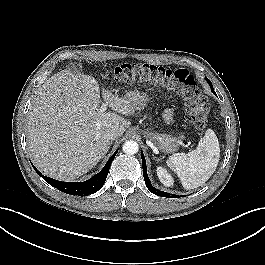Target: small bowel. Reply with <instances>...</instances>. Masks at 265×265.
Returning <instances> with one entry per match:
<instances>
[{
	"mask_svg": "<svg viewBox=\"0 0 265 265\" xmlns=\"http://www.w3.org/2000/svg\"><path fill=\"white\" fill-rule=\"evenodd\" d=\"M166 119L170 120V112L169 111L166 113Z\"/></svg>",
	"mask_w": 265,
	"mask_h": 265,
	"instance_id": "1",
	"label": "small bowel"
}]
</instances>
